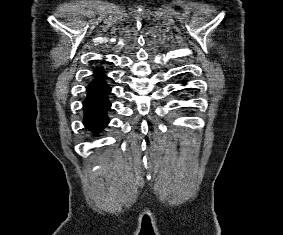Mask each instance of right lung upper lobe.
I'll return each mask as SVG.
<instances>
[{
    "label": "right lung upper lobe",
    "mask_w": 283,
    "mask_h": 235,
    "mask_svg": "<svg viewBox=\"0 0 283 235\" xmlns=\"http://www.w3.org/2000/svg\"><path fill=\"white\" fill-rule=\"evenodd\" d=\"M103 72L100 68H98L95 73Z\"/></svg>",
    "instance_id": "right-lung-upper-lobe-1"
}]
</instances>
